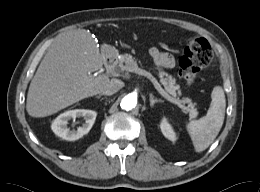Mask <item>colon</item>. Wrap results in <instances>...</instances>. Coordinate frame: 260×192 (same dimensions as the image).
<instances>
[{"mask_svg":"<svg viewBox=\"0 0 260 192\" xmlns=\"http://www.w3.org/2000/svg\"><path fill=\"white\" fill-rule=\"evenodd\" d=\"M212 58V49L206 39L199 37L188 39L183 54L178 60L179 75L192 84L197 73L209 65Z\"/></svg>","mask_w":260,"mask_h":192,"instance_id":"obj_1","label":"colon"}]
</instances>
